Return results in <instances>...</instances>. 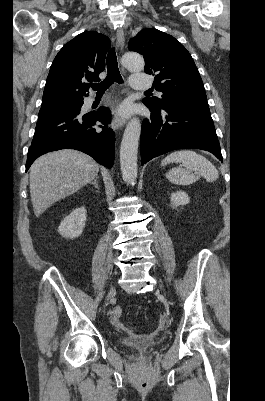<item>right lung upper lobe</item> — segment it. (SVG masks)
<instances>
[{
  "instance_id": "obj_1",
  "label": "right lung upper lobe",
  "mask_w": 265,
  "mask_h": 401,
  "mask_svg": "<svg viewBox=\"0 0 265 401\" xmlns=\"http://www.w3.org/2000/svg\"><path fill=\"white\" fill-rule=\"evenodd\" d=\"M109 47V38L96 31H85L65 44L51 65L42 105L88 96L89 87L83 81L100 80Z\"/></svg>"
}]
</instances>
